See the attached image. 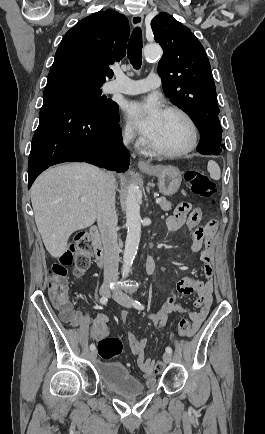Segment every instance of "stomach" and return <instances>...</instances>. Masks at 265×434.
I'll list each match as a JSON object with an SVG mask.
<instances>
[{
	"label": "stomach",
	"mask_w": 265,
	"mask_h": 434,
	"mask_svg": "<svg viewBox=\"0 0 265 434\" xmlns=\"http://www.w3.org/2000/svg\"><path fill=\"white\" fill-rule=\"evenodd\" d=\"M140 170L149 176H157L159 192L163 196H173L181 186V172L175 166H140Z\"/></svg>",
	"instance_id": "obj_1"
}]
</instances>
